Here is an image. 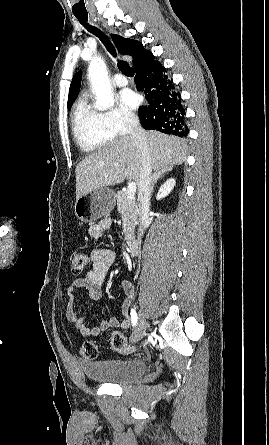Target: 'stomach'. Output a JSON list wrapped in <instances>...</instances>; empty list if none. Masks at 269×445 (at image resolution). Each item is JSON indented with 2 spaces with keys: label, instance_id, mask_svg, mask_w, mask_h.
<instances>
[{
  "label": "stomach",
  "instance_id": "0dacf381",
  "mask_svg": "<svg viewBox=\"0 0 269 445\" xmlns=\"http://www.w3.org/2000/svg\"><path fill=\"white\" fill-rule=\"evenodd\" d=\"M116 195L107 187L99 188L84 195L75 202L77 218L86 223H93L107 216L114 208Z\"/></svg>",
  "mask_w": 269,
  "mask_h": 445
}]
</instances>
